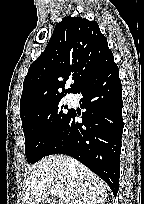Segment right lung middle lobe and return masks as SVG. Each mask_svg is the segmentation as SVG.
I'll return each mask as SVG.
<instances>
[{
	"label": "right lung middle lobe",
	"instance_id": "obj_1",
	"mask_svg": "<svg viewBox=\"0 0 144 204\" xmlns=\"http://www.w3.org/2000/svg\"><path fill=\"white\" fill-rule=\"evenodd\" d=\"M63 97L53 98L21 116L25 135V155L29 163H35L46 155L68 120L72 109L62 105Z\"/></svg>",
	"mask_w": 144,
	"mask_h": 204
}]
</instances>
